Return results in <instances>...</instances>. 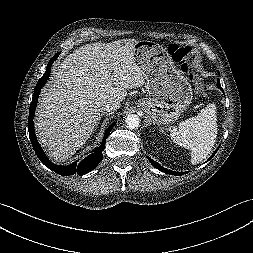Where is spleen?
<instances>
[{"instance_id": "spleen-1", "label": "spleen", "mask_w": 253, "mask_h": 253, "mask_svg": "<svg viewBox=\"0 0 253 253\" xmlns=\"http://www.w3.org/2000/svg\"><path fill=\"white\" fill-rule=\"evenodd\" d=\"M217 115L215 104H208L195 117L179 123L170 130V138L177 145L191 151L193 165L204 160L211 152L217 138Z\"/></svg>"}]
</instances>
